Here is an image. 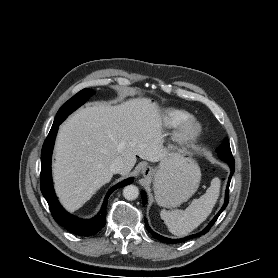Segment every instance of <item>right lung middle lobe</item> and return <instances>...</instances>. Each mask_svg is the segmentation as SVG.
Instances as JSON below:
<instances>
[{"instance_id":"obj_1","label":"right lung middle lobe","mask_w":278,"mask_h":278,"mask_svg":"<svg viewBox=\"0 0 278 278\" xmlns=\"http://www.w3.org/2000/svg\"><path fill=\"white\" fill-rule=\"evenodd\" d=\"M92 94H94V91L88 88L78 92L75 96L63 104V106L59 109L54 122L65 120L69 114L81 106Z\"/></svg>"}]
</instances>
